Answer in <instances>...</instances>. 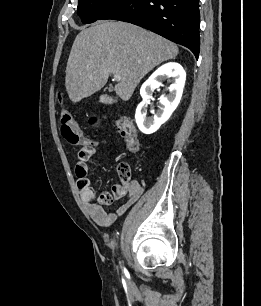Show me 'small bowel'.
<instances>
[{"mask_svg": "<svg viewBox=\"0 0 261 306\" xmlns=\"http://www.w3.org/2000/svg\"><path fill=\"white\" fill-rule=\"evenodd\" d=\"M94 152V143L92 142V152L85 158H79L75 168L78 180L86 179L89 184L90 181L87 177L88 166L86 161L94 154ZM108 152H111V150H108ZM113 189L120 190L121 196L127 195L126 200L114 211L106 210L103 207V204L100 202H93L94 194L90 186L87 189H80V198L84 203L89 215L98 225L103 227L111 226L118 217L123 215L140 198L143 193L142 185L136 180H133L129 185L125 187L117 185L113 187Z\"/></svg>", "mask_w": 261, "mask_h": 306, "instance_id": "1", "label": "small bowel"}]
</instances>
